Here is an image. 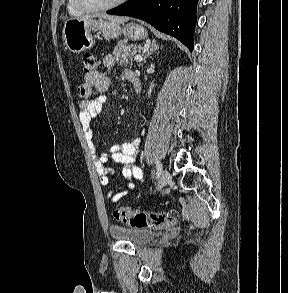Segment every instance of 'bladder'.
Here are the masks:
<instances>
[{
	"mask_svg": "<svg viewBox=\"0 0 288 293\" xmlns=\"http://www.w3.org/2000/svg\"><path fill=\"white\" fill-rule=\"evenodd\" d=\"M110 234L117 240L127 241L134 245H144L156 237V232L144 227H125L112 225Z\"/></svg>",
	"mask_w": 288,
	"mask_h": 293,
	"instance_id": "obj_1",
	"label": "bladder"
}]
</instances>
